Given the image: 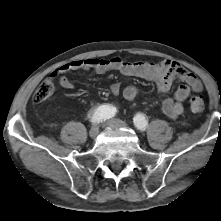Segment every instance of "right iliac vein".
I'll return each mask as SVG.
<instances>
[{
    "label": "right iliac vein",
    "instance_id": "63e3f726",
    "mask_svg": "<svg viewBox=\"0 0 221 221\" xmlns=\"http://www.w3.org/2000/svg\"><path fill=\"white\" fill-rule=\"evenodd\" d=\"M99 133V126L97 124L93 125L89 131V136L91 138H96Z\"/></svg>",
    "mask_w": 221,
    "mask_h": 221
}]
</instances>
